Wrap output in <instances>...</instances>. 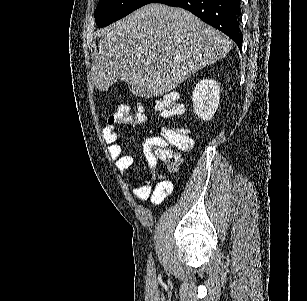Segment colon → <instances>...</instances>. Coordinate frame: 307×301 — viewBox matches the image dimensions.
<instances>
[{
    "mask_svg": "<svg viewBox=\"0 0 307 301\" xmlns=\"http://www.w3.org/2000/svg\"><path fill=\"white\" fill-rule=\"evenodd\" d=\"M154 107L163 118L180 116L184 112L178 95L172 92L158 98ZM145 121L146 114L142 107L130 114L126 107L121 106L108 118L110 125L125 124L132 128L142 126ZM158 138L160 143L153 147L155 156L165 164L169 171H177L181 163V156L174 149L188 150L192 147L193 140L189 131L181 127H161Z\"/></svg>",
    "mask_w": 307,
    "mask_h": 301,
    "instance_id": "5ec220e1",
    "label": "colon"
}]
</instances>
